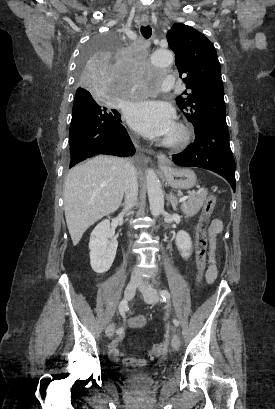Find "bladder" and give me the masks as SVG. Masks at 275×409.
<instances>
[{
	"instance_id": "31cf9c89",
	"label": "bladder",
	"mask_w": 275,
	"mask_h": 409,
	"mask_svg": "<svg viewBox=\"0 0 275 409\" xmlns=\"http://www.w3.org/2000/svg\"><path fill=\"white\" fill-rule=\"evenodd\" d=\"M139 379L155 378V373L153 371L141 372L138 374Z\"/></svg>"
}]
</instances>
